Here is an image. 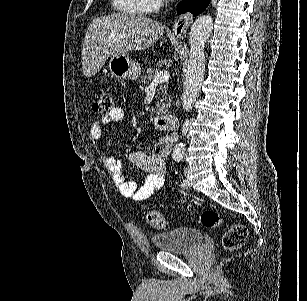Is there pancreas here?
<instances>
[{
  "label": "pancreas",
  "instance_id": "pancreas-1",
  "mask_svg": "<svg viewBox=\"0 0 307 301\" xmlns=\"http://www.w3.org/2000/svg\"><path fill=\"white\" fill-rule=\"evenodd\" d=\"M157 72H160V68H148V70H145L144 74H142L141 82H144V84H149V82H152L153 78H155ZM167 86L168 84H161V96L158 94V102H156L155 108H152L153 112H163V114H166L167 110H169L171 102L167 98Z\"/></svg>",
  "mask_w": 307,
  "mask_h": 301
}]
</instances>
